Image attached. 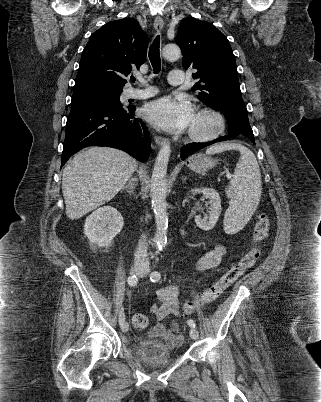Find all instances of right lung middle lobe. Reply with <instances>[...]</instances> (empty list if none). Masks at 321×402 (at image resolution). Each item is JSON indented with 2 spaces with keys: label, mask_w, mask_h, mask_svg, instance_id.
Listing matches in <instances>:
<instances>
[{
  "label": "right lung middle lobe",
  "mask_w": 321,
  "mask_h": 402,
  "mask_svg": "<svg viewBox=\"0 0 321 402\" xmlns=\"http://www.w3.org/2000/svg\"><path fill=\"white\" fill-rule=\"evenodd\" d=\"M122 89L110 86L85 83L74 86L71 105L79 103H99L111 107L122 106L119 97Z\"/></svg>",
  "instance_id": "1"
}]
</instances>
